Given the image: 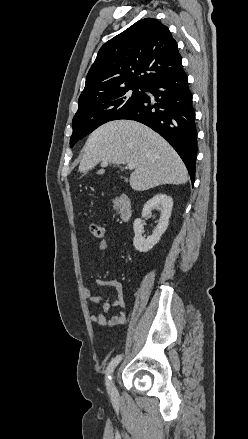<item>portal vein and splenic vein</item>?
<instances>
[{"label": "portal vein and splenic vein", "instance_id": "18ae733b", "mask_svg": "<svg viewBox=\"0 0 248 439\" xmlns=\"http://www.w3.org/2000/svg\"><path fill=\"white\" fill-rule=\"evenodd\" d=\"M101 166H102V167H106V166H108V162H102V163H101ZM127 167H128V169L132 170V169L135 168V164H134V163H128Z\"/></svg>", "mask_w": 248, "mask_h": 439}]
</instances>
